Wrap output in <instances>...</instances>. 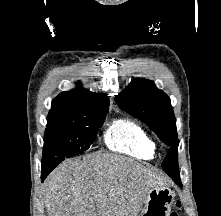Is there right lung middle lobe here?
<instances>
[{"instance_id":"1","label":"right lung middle lobe","mask_w":221,"mask_h":216,"mask_svg":"<svg viewBox=\"0 0 221 216\" xmlns=\"http://www.w3.org/2000/svg\"><path fill=\"white\" fill-rule=\"evenodd\" d=\"M107 112L86 115L75 121L47 125L44 136L42 167H56L66 157L78 155L93 143Z\"/></svg>"}]
</instances>
